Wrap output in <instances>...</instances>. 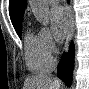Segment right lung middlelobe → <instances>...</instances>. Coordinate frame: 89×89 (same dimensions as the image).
Returning <instances> with one entry per match:
<instances>
[{"label":"right lung middle lobe","instance_id":"1","mask_svg":"<svg viewBox=\"0 0 89 89\" xmlns=\"http://www.w3.org/2000/svg\"><path fill=\"white\" fill-rule=\"evenodd\" d=\"M17 34L19 37H21V27L19 29L16 30Z\"/></svg>","mask_w":89,"mask_h":89}]
</instances>
